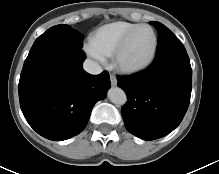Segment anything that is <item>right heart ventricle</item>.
<instances>
[{
	"label": "right heart ventricle",
	"instance_id": "right-heart-ventricle-1",
	"mask_svg": "<svg viewBox=\"0 0 219 174\" xmlns=\"http://www.w3.org/2000/svg\"><path fill=\"white\" fill-rule=\"evenodd\" d=\"M138 25V23L127 21H114L104 24L91 35L90 43L104 56H113L124 36Z\"/></svg>",
	"mask_w": 219,
	"mask_h": 174
}]
</instances>
